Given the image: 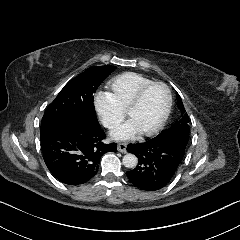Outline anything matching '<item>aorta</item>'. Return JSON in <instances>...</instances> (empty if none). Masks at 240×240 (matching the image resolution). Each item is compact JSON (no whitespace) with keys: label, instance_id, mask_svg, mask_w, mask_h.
<instances>
[{"label":"aorta","instance_id":"obj_1","mask_svg":"<svg viewBox=\"0 0 240 240\" xmlns=\"http://www.w3.org/2000/svg\"><path fill=\"white\" fill-rule=\"evenodd\" d=\"M122 163L127 168H134L138 163V158L134 154H126L122 159Z\"/></svg>","mask_w":240,"mask_h":240}]
</instances>
